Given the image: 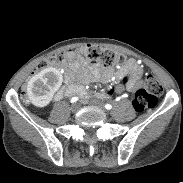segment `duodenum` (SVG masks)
<instances>
[{"instance_id": "obj_1", "label": "duodenum", "mask_w": 183, "mask_h": 183, "mask_svg": "<svg viewBox=\"0 0 183 183\" xmlns=\"http://www.w3.org/2000/svg\"><path fill=\"white\" fill-rule=\"evenodd\" d=\"M66 94L67 95H75V94H78L79 97H84L85 96V91L83 90L82 87L80 86H69L67 89H66Z\"/></svg>"}]
</instances>
